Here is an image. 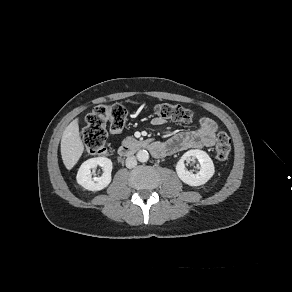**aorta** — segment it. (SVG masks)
Returning a JSON list of instances; mask_svg holds the SVG:
<instances>
[{
    "label": "aorta",
    "mask_w": 292,
    "mask_h": 292,
    "mask_svg": "<svg viewBox=\"0 0 292 292\" xmlns=\"http://www.w3.org/2000/svg\"><path fill=\"white\" fill-rule=\"evenodd\" d=\"M137 159L140 161V162H147L148 159H149V153L147 150H139L137 152Z\"/></svg>",
    "instance_id": "aorta-1"
}]
</instances>
